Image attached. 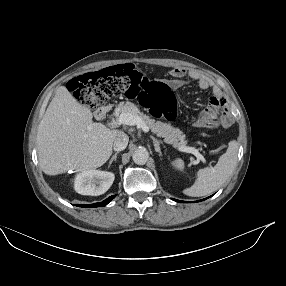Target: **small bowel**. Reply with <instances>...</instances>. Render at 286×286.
Returning a JSON list of instances; mask_svg holds the SVG:
<instances>
[{
  "instance_id": "small-bowel-1",
  "label": "small bowel",
  "mask_w": 286,
  "mask_h": 286,
  "mask_svg": "<svg viewBox=\"0 0 286 286\" xmlns=\"http://www.w3.org/2000/svg\"><path fill=\"white\" fill-rule=\"evenodd\" d=\"M171 79L168 81L171 89H178L188 82H194L198 85L200 89H212V96L206 108L202 111L200 115H209L210 112H217V114H222L225 116L226 120L229 118V107L228 104L220 92V90L214 86L208 77L205 75L188 70L183 67H176L170 71ZM195 125V124H194Z\"/></svg>"
}]
</instances>
